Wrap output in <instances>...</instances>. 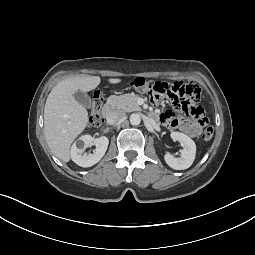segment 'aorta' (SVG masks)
Segmentation results:
<instances>
[{"label": "aorta", "mask_w": 255, "mask_h": 255, "mask_svg": "<svg viewBox=\"0 0 255 255\" xmlns=\"http://www.w3.org/2000/svg\"><path fill=\"white\" fill-rule=\"evenodd\" d=\"M140 122H141V117H140L139 114L133 113V114L130 115V123L132 125H134V126L139 125Z\"/></svg>", "instance_id": "obj_1"}]
</instances>
